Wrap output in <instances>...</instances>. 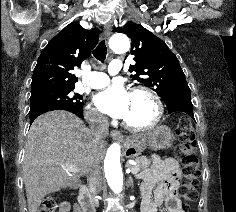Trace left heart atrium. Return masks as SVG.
Instances as JSON below:
<instances>
[{"label": "left heart atrium", "mask_w": 236, "mask_h": 212, "mask_svg": "<svg viewBox=\"0 0 236 212\" xmlns=\"http://www.w3.org/2000/svg\"><path fill=\"white\" fill-rule=\"evenodd\" d=\"M130 94L121 84H114L98 93L95 104L103 113L115 117L125 118L129 108Z\"/></svg>", "instance_id": "left-heart-atrium-1"}]
</instances>
